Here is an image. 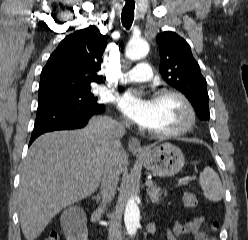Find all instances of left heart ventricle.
Listing matches in <instances>:
<instances>
[{"mask_svg": "<svg viewBox=\"0 0 248 240\" xmlns=\"http://www.w3.org/2000/svg\"><path fill=\"white\" fill-rule=\"evenodd\" d=\"M155 108L156 118L151 130H173L181 126L186 119L183 104L173 96L155 98Z\"/></svg>", "mask_w": 248, "mask_h": 240, "instance_id": "left-heart-ventricle-1", "label": "left heart ventricle"}]
</instances>
